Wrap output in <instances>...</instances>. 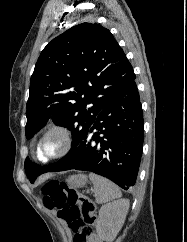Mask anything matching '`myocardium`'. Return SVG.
<instances>
[{"instance_id": "f54148a6", "label": "myocardium", "mask_w": 187, "mask_h": 242, "mask_svg": "<svg viewBox=\"0 0 187 242\" xmlns=\"http://www.w3.org/2000/svg\"><path fill=\"white\" fill-rule=\"evenodd\" d=\"M53 134H56L61 137L62 147L58 153L48 156L43 153L42 144L48 136ZM72 144H73V137L69 128L63 125H53L50 128H48L38 140L37 154L43 161L58 159L65 156L71 150Z\"/></svg>"}]
</instances>
